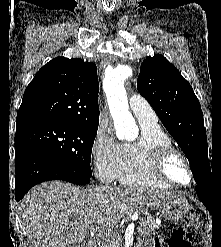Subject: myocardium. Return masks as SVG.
<instances>
[{
    "label": "myocardium",
    "mask_w": 221,
    "mask_h": 247,
    "mask_svg": "<svg viewBox=\"0 0 221 247\" xmlns=\"http://www.w3.org/2000/svg\"><path fill=\"white\" fill-rule=\"evenodd\" d=\"M173 158H178L183 162L189 177L187 183H180L168 174L167 165ZM147 161L153 175L164 183L183 188L190 186L194 180L193 171L188 159L173 145L158 144L153 146L147 153Z\"/></svg>",
    "instance_id": "myocardium-1"
}]
</instances>
